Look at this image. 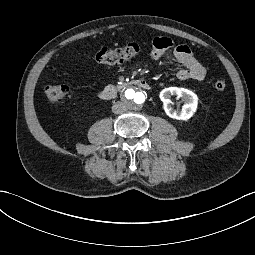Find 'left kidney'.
I'll list each match as a JSON object with an SVG mask.
<instances>
[{
  "instance_id": "obj_1",
  "label": "left kidney",
  "mask_w": 255,
  "mask_h": 255,
  "mask_svg": "<svg viewBox=\"0 0 255 255\" xmlns=\"http://www.w3.org/2000/svg\"><path fill=\"white\" fill-rule=\"evenodd\" d=\"M177 96L178 99L184 101L181 111H176L171 107L172 101L171 96ZM160 99L163 102V107L166 114L178 120H187L192 117L193 113L197 109L198 97L195 93L188 89L178 88V87H169L165 88L160 92Z\"/></svg>"
}]
</instances>
